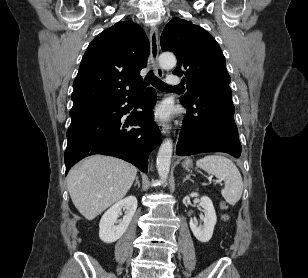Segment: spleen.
<instances>
[{"label": "spleen", "mask_w": 308, "mask_h": 278, "mask_svg": "<svg viewBox=\"0 0 308 278\" xmlns=\"http://www.w3.org/2000/svg\"><path fill=\"white\" fill-rule=\"evenodd\" d=\"M197 167L225 182L221 194L230 205H235L243 193L242 176L229 158L221 155H208L196 163Z\"/></svg>", "instance_id": "3e777b00"}]
</instances>
